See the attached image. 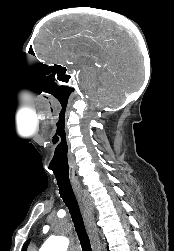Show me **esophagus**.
Wrapping results in <instances>:
<instances>
[{
    "label": "esophagus",
    "mask_w": 174,
    "mask_h": 251,
    "mask_svg": "<svg viewBox=\"0 0 174 251\" xmlns=\"http://www.w3.org/2000/svg\"><path fill=\"white\" fill-rule=\"evenodd\" d=\"M72 188L74 190V193L78 199V202L80 204L86 225L89 229V232L94 234L95 233V226L93 221V215H92V208L88 199L87 194L82 189L79 182L72 183ZM100 251V250H98Z\"/></svg>",
    "instance_id": "34e87169"
}]
</instances>
